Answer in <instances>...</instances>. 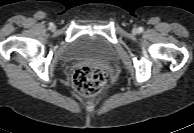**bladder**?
Segmentation results:
<instances>
[{"mask_svg":"<svg viewBox=\"0 0 194 133\" xmlns=\"http://www.w3.org/2000/svg\"><path fill=\"white\" fill-rule=\"evenodd\" d=\"M116 51L113 44L99 34L83 33L75 37L68 45L65 61L94 60L106 62L113 60Z\"/></svg>","mask_w":194,"mask_h":133,"instance_id":"bladder-1","label":"bladder"}]
</instances>
